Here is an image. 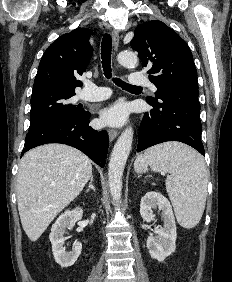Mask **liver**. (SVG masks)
Masks as SVG:
<instances>
[{"label":"liver","instance_id":"1","mask_svg":"<svg viewBox=\"0 0 232 282\" xmlns=\"http://www.w3.org/2000/svg\"><path fill=\"white\" fill-rule=\"evenodd\" d=\"M91 176V160L73 147L46 144L25 153L16 191L22 227L31 241L80 194Z\"/></svg>","mask_w":232,"mask_h":282}]
</instances>
